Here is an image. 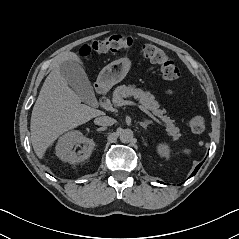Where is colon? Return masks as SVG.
Segmentation results:
<instances>
[{
  "mask_svg": "<svg viewBox=\"0 0 239 239\" xmlns=\"http://www.w3.org/2000/svg\"><path fill=\"white\" fill-rule=\"evenodd\" d=\"M134 45L130 37L122 35H112L105 39L96 40L90 44H84L79 49V55L87 57L92 53L104 54L108 52L128 51ZM144 57L150 62L159 65L161 76L167 81H176L180 78V69L178 65L170 59L167 54L154 45H145L143 47ZM168 94L172 97L177 96V89H169ZM188 127L193 133H201L205 129V119L199 113H193L189 116Z\"/></svg>",
  "mask_w": 239,
  "mask_h": 239,
  "instance_id": "colon-1",
  "label": "colon"
}]
</instances>
